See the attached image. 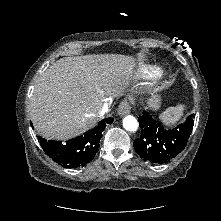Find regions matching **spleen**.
I'll return each instance as SVG.
<instances>
[{"label":"spleen","instance_id":"3e777b00","mask_svg":"<svg viewBox=\"0 0 221 221\" xmlns=\"http://www.w3.org/2000/svg\"><path fill=\"white\" fill-rule=\"evenodd\" d=\"M184 109H185L184 105L169 107L159 116V118L165 124H174L177 121H179V119L183 115Z\"/></svg>","mask_w":221,"mask_h":221}]
</instances>
